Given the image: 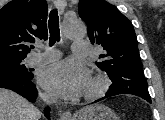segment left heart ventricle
Masks as SVG:
<instances>
[{
  "instance_id": "obj_1",
  "label": "left heart ventricle",
  "mask_w": 165,
  "mask_h": 120,
  "mask_svg": "<svg viewBox=\"0 0 165 120\" xmlns=\"http://www.w3.org/2000/svg\"><path fill=\"white\" fill-rule=\"evenodd\" d=\"M92 88H93V82L91 80L90 83H89V85H88V88H87L86 92L90 91Z\"/></svg>"
}]
</instances>
